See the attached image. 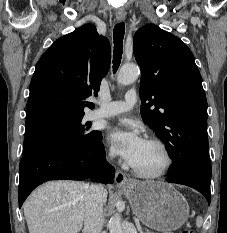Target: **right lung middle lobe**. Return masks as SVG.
Wrapping results in <instances>:
<instances>
[{
  "label": "right lung middle lobe",
  "mask_w": 227,
  "mask_h": 233,
  "mask_svg": "<svg viewBox=\"0 0 227 233\" xmlns=\"http://www.w3.org/2000/svg\"><path fill=\"white\" fill-rule=\"evenodd\" d=\"M90 127V123H84L82 118H79L40 132L25 135L23 155L50 146H87L101 135L99 131H91Z\"/></svg>",
  "instance_id": "1"
}]
</instances>
